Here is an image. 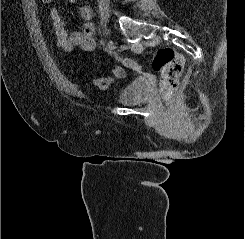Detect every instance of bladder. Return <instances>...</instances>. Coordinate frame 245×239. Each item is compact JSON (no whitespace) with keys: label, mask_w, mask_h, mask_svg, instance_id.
<instances>
[{"label":"bladder","mask_w":245,"mask_h":239,"mask_svg":"<svg viewBox=\"0 0 245 239\" xmlns=\"http://www.w3.org/2000/svg\"><path fill=\"white\" fill-rule=\"evenodd\" d=\"M151 84L135 79L123 87L118 95L119 104L137 105L145 101L150 94Z\"/></svg>","instance_id":"obj_1"}]
</instances>
